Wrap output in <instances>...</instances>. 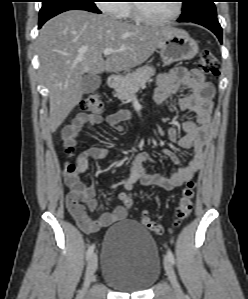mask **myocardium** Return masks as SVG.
<instances>
[{
	"label": "myocardium",
	"mask_w": 248,
	"mask_h": 299,
	"mask_svg": "<svg viewBox=\"0 0 248 299\" xmlns=\"http://www.w3.org/2000/svg\"><path fill=\"white\" fill-rule=\"evenodd\" d=\"M141 3H135L133 5V12L137 20L147 24L160 25L167 24L176 19H178L182 13V2L180 0H175V12L166 18H154L147 15L142 9Z\"/></svg>",
	"instance_id": "obj_1"
}]
</instances>
